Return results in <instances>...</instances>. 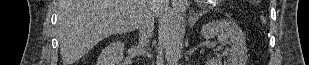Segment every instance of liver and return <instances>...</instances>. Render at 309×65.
<instances>
[{"mask_svg": "<svg viewBox=\"0 0 309 65\" xmlns=\"http://www.w3.org/2000/svg\"><path fill=\"white\" fill-rule=\"evenodd\" d=\"M165 2L152 0H57V32L64 65L83 57L99 41L138 29L144 12L160 15Z\"/></svg>", "mask_w": 309, "mask_h": 65, "instance_id": "obj_1", "label": "liver"}]
</instances>
